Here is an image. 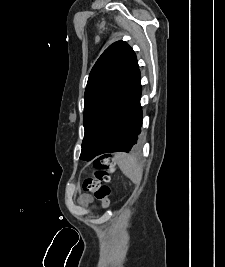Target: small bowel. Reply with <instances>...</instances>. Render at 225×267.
I'll return each mask as SVG.
<instances>
[{"label": "small bowel", "mask_w": 225, "mask_h": 267, "mask_svg": "<svg viewBox=\"0 0 225 267\" xmlns=\"http://www.w3.org/2000/svg\"><path fill=\"white\" fill-rule=\"evenodd\" d=\"M92 202H93V197L88 193L82 194L79 197V203H80L81 206L87 207Z\"/></svg>", "instance_id": "obj_1"}]
</instances>
